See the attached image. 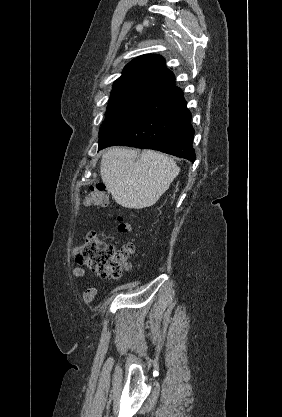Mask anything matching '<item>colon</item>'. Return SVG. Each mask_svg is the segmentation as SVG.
<instances>
[{
    "instance_id": "colon-1",
    "label": "colon",
    "mask_w": 282,
    "mask_h": 417,
    "mask_svg": "<svg viewBox=\"0 0 282 417\" xmlns=\"http://www.w3.org/2000/svg\"><path fill=\"white\" fill-rule=\"evenodd\" d=\"M85 203L91 207H107L110 204V195L106 190V185L91 186ZM117 222V228L121 233H127L132 229L131 224L123 217H119ZM133 253L134 249L131 245L117 250L100 234L92 232L76 246L74 260L97 275L117 279L130 269Z\"/></svg>"
}]
</instances>
